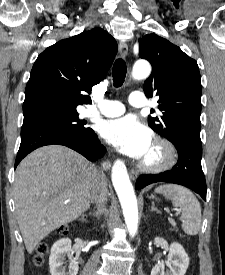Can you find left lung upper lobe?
I'll return each mask as SVG.
<instances>
[{"mask_svg":"<svg viewBox=\"0 0 225 275\" xmlns=\"http://www.w3.org/2000/svg\"><path fill=\"white\" fill-rule=\"evenodd\" d=\"M139 56L153 67L144 83V92L147 97L159 96L161 115L149 116V126L173 144L189 140L201 142L202 89L197 62L156 34L140 40Z\"/></svg>","mask_w":225,"mask_h":275,"instance_id":"5c2ea615","label":"left lung upper lobe"}]
</instances>
